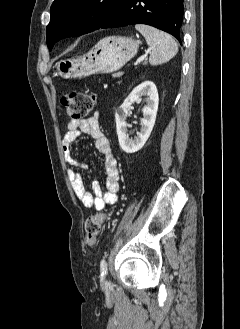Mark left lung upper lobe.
<instances>
[{
    "label": "left lung upper lobe",
    "mask_w": 240,
    "mask_h": 329,
    "mask_svg": "<svg viewBox=\"0 0 240 329\" xmlns=\"http://www.w3.org/2000/svg\"><path fill=\"white\" fill-rule=\"evenodd\" d=\"M123 0H55L46 28L47 45L100 28Z\"/></svg>",
    "instance_id": "obj_1"
}]
</instances>
